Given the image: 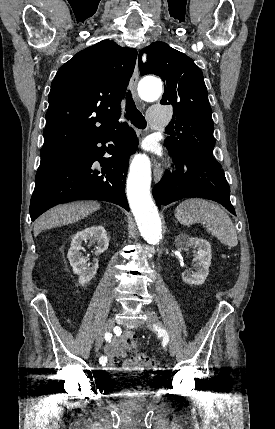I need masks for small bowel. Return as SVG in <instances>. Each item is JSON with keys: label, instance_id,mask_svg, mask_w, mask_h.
<instances>
[{"label": "small bowel", "instance_id": "c3829d8e", "mask_svg": "<svg viewBox=\"0 0 275 429\" xmlns=\"http://www.w3.org/2000/svg\"><path fill=\"white\" fill-rule=\"evenodd\" d=\"M135 339L131 331H126L121 336L108 342L104 351L108 361L107 366L110 370H115L119 367V360L123 357L121 353L127 349L128 342ZM121 365L126 370L137 369L139 366L137 362L130 359L123 361Z\"/></svg>", "mask_w": 275, "mask_h": 429}]
</instances>
